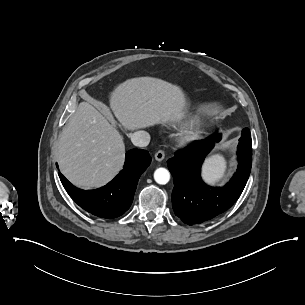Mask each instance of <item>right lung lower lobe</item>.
I'll return each instance as SVG.
<instances>
[{
  "label": "right lung lower lobe",
  "instance_id": "right-lung-lower-lobe-1",
  "mask_svg": "<svg viewBox=\"0 0 305 305\" xmlns=\"http://www.w3.org/2000/svg\"><path fill=\"white\" fill-rule=\"evenodd\" d=\"M150 163L148 151L129 150L123 170L107 185L95 190L79 189L61 173L59 177L69 196L81 208L95 216L111 219L121 216L129 209L138 180ZM56 166L58 167L57 164Z\"/></svg>",
  "mask_w": 305,
  "mask_h": 305
}]
</instances>
